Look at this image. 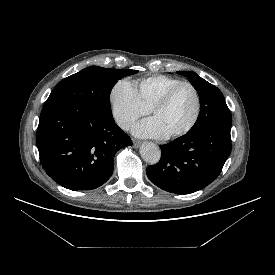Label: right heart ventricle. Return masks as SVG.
Masks as SVG:
<instances>
[{
  "label": "right heart ventricle",
  "instance_id": "obj_1",
  "mask_svg": "<svg viewBox=\"0 0 275 275\" xmlns=\"http://www.w3.org/2000/svg\"><path fill=\"white\" fill-rule=\"evenodd\" d=\"M180 82L182 81L174 77L153 75L139 80L136 89L141 102L150 110L167 90Z\"/></svg>",
  "mask_w": 275,
  "mask_h": 275
}]
</instances>
